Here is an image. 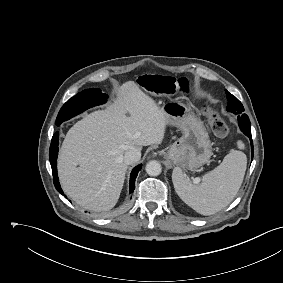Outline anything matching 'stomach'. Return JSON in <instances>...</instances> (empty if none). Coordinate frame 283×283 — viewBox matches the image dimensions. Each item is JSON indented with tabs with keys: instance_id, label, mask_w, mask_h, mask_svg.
I'll return each instance as SVG.
<instances>
[{
	"instance_id": "1",
	"label": "stomach",
	"mask_w": 283,
	"mask_h": 283,
	"mask_svg": "<svg viewBox=\"0 0 283 283\" xmlns=\"http://www.w3.org/2000/svg\"><path fill=\"white\" fill-rule=\"evenodd\" d=\"M168 125L179 128L182 137L173 143L166 157L177 167L194 170L212 156V144L203 122L180 101L172 100L162 106Z\"/></svg>"
}]
</instances>
